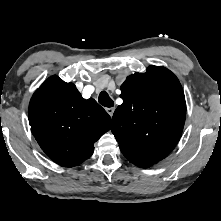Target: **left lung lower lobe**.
Instances as JSON below:
<instances>
[{"label": "left lung lower lobe", "instance_id": "0a47b994", "mask_svg": "<svg viewBox=\"0 0 221 221\" xmlns=\"http://www.w3.org/2000/svg\"><path fill=\"white\" fill-rule=\"evenodd\" d=\"M130 161H131L132 163H134L135 165H137V166H139V167H143V168L152 166V165H150V164H146V163L140 162V161L135 160V159H130Z\"/></svg>", "mask_w": 221, "mask_h": 221}]
</instances>
